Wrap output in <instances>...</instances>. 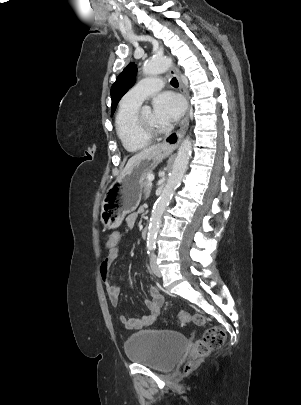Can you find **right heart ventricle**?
<instances>
[{"instance_id": "e07e8e85", "label": "right heart ventricle", "mask_w": 301, "mask_h": 405, "mask_svg": "<svg viewBox=\"0 0 301 405\" xmlns=\"http://www.w3.org/2000/svg\"><path fill=\"white\" fill-rule=\"evenodd\" d=\"M139 106L121 103L115 117L117 135L124 148L131 153L137 152L150 143V139L140 136L134 128V119Z\"/></svg>"}]
</instances>
